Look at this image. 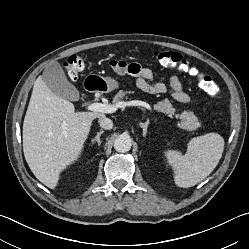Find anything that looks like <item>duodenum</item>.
<instances>
[{
  "mask_svg": "<svg viewBox=\"0 0 249 249\" xmlns=\"http://www.w3.org/2000/svg\"><path fill=\"white\" fill-rule=\"evenodd\" d=\"M87 89H88V90H94L95 88L92 87V86H90V85H88V86H87Z\"/></svg>",
  "mask_w": 249,
  "mask_h": 249,
  "instance_id": "410a0bca",
  "label": "duodenum"
}]
</instances>
